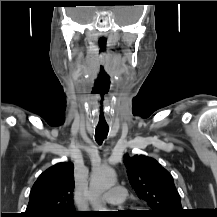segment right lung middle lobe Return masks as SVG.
Returning <instances> with one entry per match:
<instances>
[{
  "label": "right lung middle lobe",
  "mask_w": 217,
  "mask_h": 217,
  "mask_svg": "<svg viewBox=\"0 0 217 217\" xmlns=\"http://www.w3.org/2000/svg\"><path fill=\"white\" fill-rule=\"evenodd\" d=\"M77 216H78V214L77 215H69V216L64 215V216H60V217H77Z\"/></svg>",
  "instance_id": "right-lung-middle-lobe-1"
}]
</instances>
